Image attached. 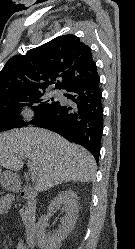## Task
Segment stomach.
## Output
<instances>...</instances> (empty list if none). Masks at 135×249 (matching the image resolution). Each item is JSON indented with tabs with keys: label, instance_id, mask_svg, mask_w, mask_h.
I'll return each instance as SVG.
<instances>
[{
	"label": "stomach",
	"instance_id": "1",
	"mask_svg": "<svg viewBox=\"0 0 135 249\" xmlns=\"http://www.w3.org/2000/svg\"><path fill=\"white\" fill-rule=\"evenodd\" d=\"M0 182L3 183L6 187H11V185L17 183V179L14 174L1 172L0 169Z\"/></svg>",
	"mask_w": 135,
	"mask_h": 249
}]
</instances>
